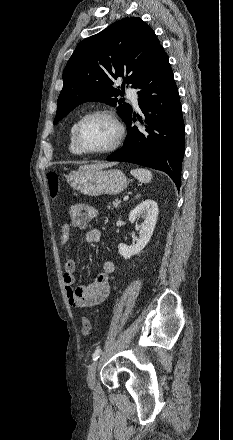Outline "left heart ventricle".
Returning <instances> with one entry per match:
<instances>
[{"instance_id":"left-heart-ventricle-1","label":"left heart ventricle","mask_w":233,"mask_h":440,"mask_svg":"<svg viewBox=\"0 0 233 440\" xmlns=\"http://www.w3.org/2000/svg\"><path fill=\"white\" fill-rule=\"evenodd\" d=\"M116 136V128L106 117L95 116L88 119L79 133L80 144L89 150H100L112 144Z\"/></svg>"}]
</instances>
